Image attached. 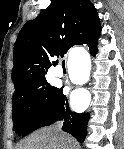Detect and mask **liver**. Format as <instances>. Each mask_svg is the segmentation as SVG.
Here are the masks:
<instances>
[{"label": "liver", "instance_id": "obj_1", "mask_svg": "<svg viewBox=\"0 0 124 149\" xmlns=\"http://www.w3.org/2000/svg\"><path fill=\"white\" fill-rule=\"evenodd\" d=\"M64 142H69V145H64ZM75 140L63 134L59 136L53 127L40 129L28 138L21 145V149H63V146L73 148Z\"/></svg>", "mask_w": 124, "mask_h": 149}]
</instances>
